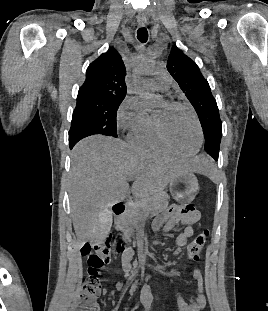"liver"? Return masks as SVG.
Masks as SVG:
<instances>
[{"label":"liver","instance_id":"obj_1","mask_svg":"<svg viewBox=\"0 0 268 311\" xmlns=\"http://www.w3.org/2000/svg\"><path fill=\"white\" fill-rule=\"evenodd\" d=\"M208 160H190L133 149L120 139L102 135L78 142L71 153L69 196L73 227L81 247L97 232L107 209L132 194L143 199L160 194L172 179L187 171L203 173Z\"/></svg>","mask_w":268,"mask_h":311}]
</instances>
